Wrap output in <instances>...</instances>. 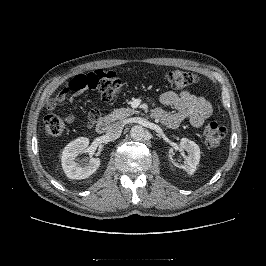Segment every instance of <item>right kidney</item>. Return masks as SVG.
<instances>
[{
	"label": "right kidney",
	"mask_w": 266,
	"mask_h": 266,
	"mask_svg": "<svg viewBox=\"0 0 266 266\" xmlns=\"http://www.w3.org/2000/svg\"><path fill=\"white\" fill-rule=\"evenodd\" d=\"M89 145V139L85 137L78 138L70 142L63 150L61 162L66 176L70 179H86L91 176L100 166L99 158H91L88 164L80 166L75 162V158L80 152L86 150Z\"/></svg>",
	"instance_id": "right-kidney-1"
}]
</instances>
